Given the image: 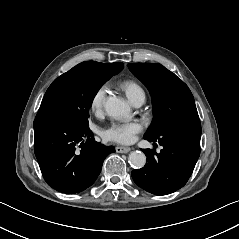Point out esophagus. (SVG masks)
<instances>
[{
    "instance_id": "34e87169",
    "label": "esophagus",
    "mask_w": 239,
    "mask_h": 239,
    "mask_svg": "<svg viewBox=\"0 0 239 239\" xmlns=\"http://www.w3.org/2000/svg\"><path fill=\"white\" fill-rule=\"evenodd\" d=\"M115 150L118 153H128V152H130L131 148L130 147H116Z\"/></svg>"
}]
</instances>
